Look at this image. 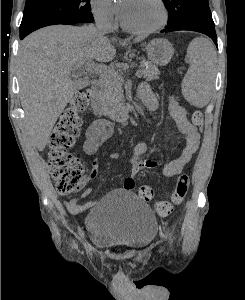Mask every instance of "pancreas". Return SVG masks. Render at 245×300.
Returning <instances> with one entry per match:
<instances>
[{"instance_id":"obj_1","label":"pancreas","mask_w":245,"mask_h":300,"mask_svg":"<svg viewBox=\"0 0 245 300\" xmlns=\"http://www.w3.org/2000/svg\"><path fill=\"white\" fill-rule=\"evenodd\" d=\"M146 65L148 66L147 68ZM141 66V76H143L146 81H152L158 78L159 70L156 65L144 61ZM102 80L104 85V90L100 98L102 109L105 115L113 120L119 121L128 112L124 106L125 100L122 91L124 80L121 74L115 70L103 75Z\"/></svg>"}]
</instances>
